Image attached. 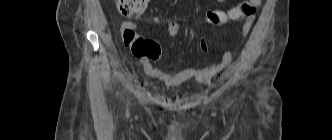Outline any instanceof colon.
I'll list each match as a JSON object with an SVG mask.
<instances>
[{"mask_svg": "<svg viewBox=\"0 0 332 140\" xmlns=\"http://www.w3.org/2000/svg\"><path fill=\"white\" fill-rule=\"evenodd\" d=\"M148 1L149 0H116V6L123 16L131 17L141 13L145 9ZM261 2L262 0H246L228 13L220 10L209 11L204 18V23L208 26H221L229 19L252 17ZM185 29L186 25L184 22L177 20L170 21L167 25V34L170 37H175L182 34ZM121 33L124 43L130 47L135 56L152 60L161 58L162 50L160 46L155 41L145 39L139 35L132 23H124Z\"/></svg>", "mask_w": 332, "mask_h": 140, "instance_id": "1", "label": "colon"}]
</instances>
